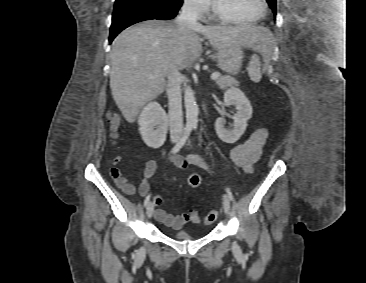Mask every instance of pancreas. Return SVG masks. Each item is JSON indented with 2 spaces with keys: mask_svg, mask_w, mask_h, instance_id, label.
Returning <instances> with one entry per match:
<instances>
[{
  "mask_svg": "<svg viewBox=\"0 0 366 283\" xmlns=\"http://www.w3.org/2000/svg\"><path fill=\"white\" fill-rule=\"evenodd\" d=\"M217 84L220 86L221 89H225L228 87L233 88L235 86H238L239 82L231 76H220L217 79Z\"/></svg>",
  "mask_w": 366,
  "mask_h": 283,
  "instance_id": "cf45deb5",
  "label": "pancreas"
}]
</instances>
